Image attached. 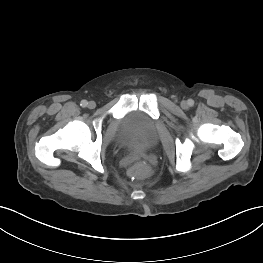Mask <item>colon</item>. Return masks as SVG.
<instances>
[{
  "label": "colon",
  "mask_w": 263,
  "mask_h": 263,
  "mask_svg": "<svg viewBox=\"0 0 263 263\" xmlns=\"http://www.w3.org/2000/svg\"><path fill=\"white\" fill-rule=\"evenodd\" d=\"M130 174L137 178H144L150 174V167L144 162H138L130 168Z\"/></svg>",
  "instance_id": "obj_1"
}]
</instances>
